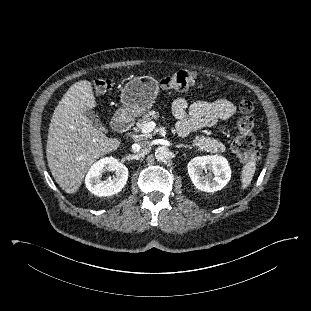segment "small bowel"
Here are the masks:
<instances>
[{
  "label": "small bowel",
  "mask_w": 311,
  "mask_h": 311,
  "mask_svg": "<svg viewBox=\"0 0 311 311\" xmlns=\"http://www.w3.org/2000/svg\"><path fill=\"white\" fill-rule=\"evenodd\" d=\"M172 112L178 119L176 129L179 135L187 136L203 128H215L219 119H228L237 112L236 106L227 99L210 102L198 96L191 104L184 98L176 99Z\"/></svg>",
  "instance_id": "small-bowel-1"
}]
</instances>
